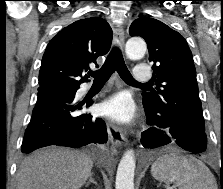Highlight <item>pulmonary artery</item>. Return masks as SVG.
Wrapping results in <instances>:
<instances>
[{
  "label": "pulmonary artery",
  "instance_id": "obj_1",
  "mask_svg": "<svg viewBox=\"0 0 223 189\" xmlns=\"http://www.w3.org/2000/svg\"><path fill=\"white\" fill-rule=\"evenodd\" d=\"M151 70L145 64H138L133 71V79L136 82H147L151 78Z\"/></svg>",
  "mask_w": 223,
  "mask_h": 189
}]
</instances>
